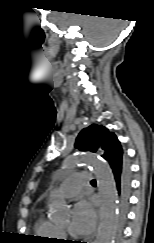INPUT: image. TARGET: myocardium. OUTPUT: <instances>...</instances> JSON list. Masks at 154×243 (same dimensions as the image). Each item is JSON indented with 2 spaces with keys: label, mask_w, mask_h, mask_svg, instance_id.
<instances>
[{
  "label": "myocardium",
  "mask_w": 154,
  "mask_h": 243,
  "mask_svg": "<svg viewBox=\"0 0 154 243\" xmlns=\"http://www.w3.org/2000/svg\"><path fill=\"white\" fill-rule=\"evenodd\" d=\"M60 230H61V232H62L63 235L66 233V232H65V229L60 228Z\"/></svg>",
  "instance_id": "1"
}]
</instances>
